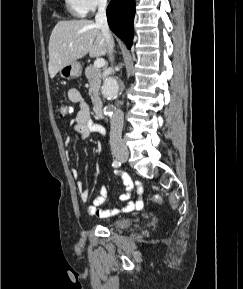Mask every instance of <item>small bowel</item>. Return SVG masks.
<instances>
[{
	"instance_id": "c3829d8e",
	"label": "small bowel",
	"mask_w": 243,
	"mask_h": 289,
	"mask_svg": "<svg viewBox=\"0 0 243 289\" xmlns=\"http://www.w3.org/2000/svg\"><path fill=\"white\" fill-rule=\"evenodd\" d=\"M67 96L72 103H77L80 106L79 111L76 113V115L71 121L72 128L78 134V136L81 139H85L91 133H95L104 137L106 134L105 128L102 125L94 122V120L91 118L89 107L85 103L79 90L76 88H70L67 92ZM73 176H78L77 170H73ZM122 180L125 185L126 192L124 194H121L119 196V199L121 201H127L130 199L131 191L134 184L127 175H122ZM77 187L79 189L80 200L83 203H86L89 198L88 190L83 188V183L80 181L77 183ZM107 197L108 190L106 187L103 186L100 189L99 195L93 200V203L90 205H85V211L91 216L104 218L118 213H127L140 210L144 204L143 190L140 184H137L136 199L134 201H129L127 204L120 208L113 210L102 208V205L106 201Z\"/></svg>"
}]
</instances>
